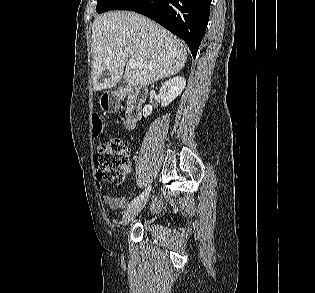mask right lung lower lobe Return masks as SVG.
I'll return each instance as SVG.
<instances>
[{
    "mask_svg": "<svg viewBox=\"0 0 315 293\" xmlns=\"http://www.w3.org/2000/svg\"><path fill=\"white\" fill-rule=\"evenodd\" d=\"M211 0H119L110 10L141 13L182 38L193 58L205 35Z\"/></svg>",
    "mask_w": 315,
    "mask_h": 293,
    "instance_id": "1",
    "label": "right lung lower lobe"
}]
</instances>
